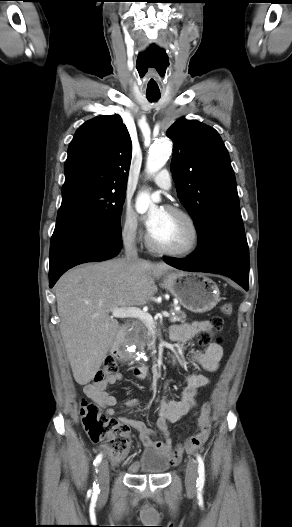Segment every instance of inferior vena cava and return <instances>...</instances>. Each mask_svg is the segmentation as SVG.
<instances>
[{"label": "inferior vena cava", "mask_w": 292, "mask_h": 527, "mask_svg": "<svg viewBox=\"0 0 292 527\" xmlns=\"http://www.w3.org/2000/svg\"><path fill=\"white\" fill-rule=\"evenodd\" d=\"M123 244L125 247V255L127 259H138L137 248L135 245V235L133 232L124 234Z\"/></svg>", "instance_id": "obj_1"}]
</instances>
